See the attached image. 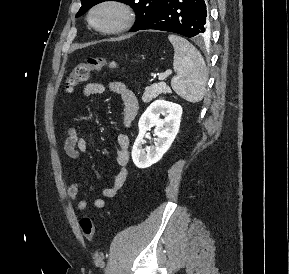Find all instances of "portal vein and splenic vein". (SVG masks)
<instances>
[{"mask_svg": "<svg viewBox=\"0 0 289 274\" xmlns=\"http://www.w3.org/2000/svg\"><path fill=\"white\" fill-rule=\"evenodd\" d=\"M169 76V73H163L158 76L159 81L165 80Z\"/></svg>", "mask_w": 289, "mask_h": 274, "instance_id": "obj_1", "label": "portal vein and splenic vein"}]
</instances>
